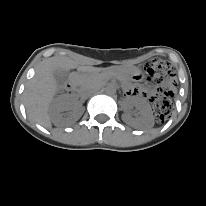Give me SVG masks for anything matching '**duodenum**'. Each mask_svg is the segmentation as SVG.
I'll return each mask as SVG.
<instances>
[{
  "instance_id": "410a0bca",
  "label": "duodenum",
  "mask_w": 206,
  "mask_h": 206,
  "mask_svg": "<svg viewBox=\"0 0 206 206\" xmlns=\"http://www.w3.org/2000/svg\"><path fill=\"white\" fill-rule=\"evenodd\" d=\"M66 90L72 91L76 88V83L74 80H69L65 85Z\"/></svg>"
}]
</instances>
